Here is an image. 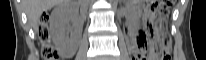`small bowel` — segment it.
<instances>
[{
	"mask_svg": "<svg viewBox=\"0 0 206 60\" xmlns=\"http://www.w3.org/2000/svg\"><path fill=\"white\" fill-rule=\"evenodd\" d=\"M137 52H138V48L137 46L133 43L132 46H131V53H132V56H136L137 55Z\"/></svg>",
	"mask_w": 206,
	"mask_h": 60,
	"instance_id": "small-bowel-1",
	"label": "small bowel"
}]
</instances>
